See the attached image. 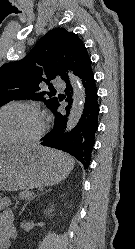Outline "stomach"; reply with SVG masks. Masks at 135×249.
I'll return each mask as SVG.
<instances>
[{"instance_id": "1", "label": "stomach", "mask_w": 135, "mask_h": 249, "mask_svg": "<svg viewBox=\"0 0 135 249\" xmlns=\"http://www.w3.org/2000/svg\"><path fill=\"white\" fill-rule=\"evenodd\" d=\"M73 166L71 161H61L57 152L40 146L0 147V190L54 185L65 179Z\"/></svg>"}]
</instances>
